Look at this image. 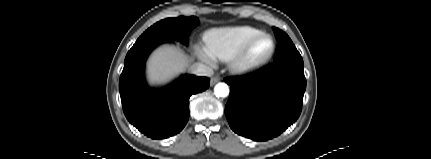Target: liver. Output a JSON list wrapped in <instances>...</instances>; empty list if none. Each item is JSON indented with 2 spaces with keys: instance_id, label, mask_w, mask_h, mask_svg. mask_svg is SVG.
I'll return each instance as SVG.
<instances>
[{
  "instance_id": "6515ba94",
  "label": "liver",
  "mask_w": 431,
  "mask_h": 159,
  "mask_svg": "<svg viewBox=\"0 0 431 159\" xmlns=\"http://www.w3.org/2000/svg\"><path fill=\"white\" fill-rule=\"evenodd\" d=\"M189 65L188 57L178 48L164 45L156 49L147 64L151 83H164L184 72Z\"/></svg>"
}]
</instances>
